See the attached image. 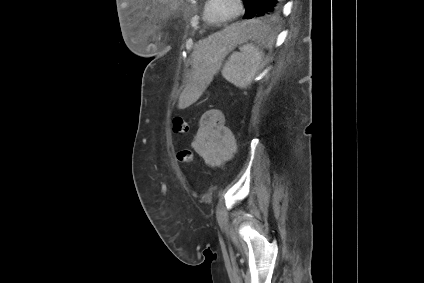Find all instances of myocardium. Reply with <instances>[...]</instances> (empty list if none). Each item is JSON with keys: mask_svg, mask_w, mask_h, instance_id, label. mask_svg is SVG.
<instances>
[{"mask_svg": "<svg viewBox=\"0 0 424 283\" xmlns=\"http://www.w3.org/2000/svg\"><path fill=\"white\" fill-rule=\"evenodd\" d=\"M213 1L214 0H207L205 4V18L209 23L213 25H219L234 20L241 16L245 9V4L243 0H233L235 4V10L231 15L222 18H212L209 11Z\"/></svg>", "mask_w": 424, "mask_h": 283, "instance_id": "f54148a6", "label": "myocardium"}]
</instances>
